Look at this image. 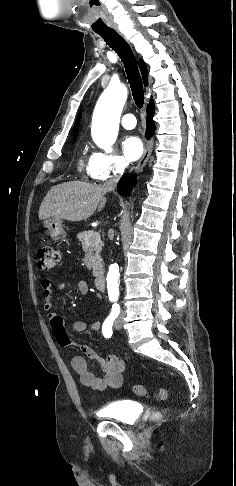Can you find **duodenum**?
<instances>
[{
  "label": "duodenum",
  "mask_w": 236,
  "mask_h": 486,
  "mask_svg": "<svg viewBox=\"0 0 236 486\" xmlns=\"http://www.w3.org/2000/svg\"><path fill=\"white\" fill-rule=\"evenodd\" d=\"M94 285L96 289L99 291H104L106 284H105V276L102 273H98L94 278Z\"/></svg>",
  "instance_id": "1"
}]
</instances>
